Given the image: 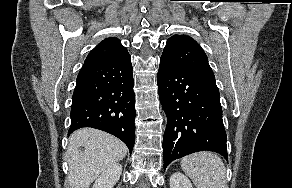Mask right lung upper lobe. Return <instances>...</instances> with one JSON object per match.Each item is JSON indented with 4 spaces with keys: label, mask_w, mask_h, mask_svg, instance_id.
Returning <instances> with one entry per match:
<instances>
[{
    "label": "right lung upper lobe",
    "mask_w": 292,
    "mask_h": 188,
    "mask_svg": "<svg viewBox=\"0 0 292 188\" xmlns=\"http://www.w3.org/2000/svg\"><path fill=\"white\" fill-rule=\"evenodd\" d=\"M127 49L117 38H106L100 42L87 56L85 61L117 60L128 56Z\"/></svg>",
    "instance_id": "1"
}]
</instances>
